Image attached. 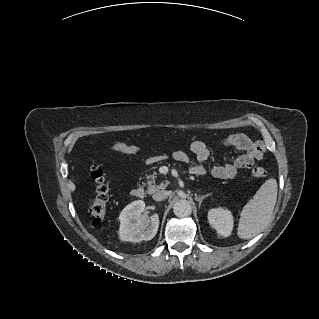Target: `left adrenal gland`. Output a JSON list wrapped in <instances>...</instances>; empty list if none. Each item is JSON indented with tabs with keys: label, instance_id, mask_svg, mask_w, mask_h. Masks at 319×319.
Wrapping results in <instances>:
<instances>
[{
	"label": "left adrenal gland",
	"instance_id": "obj_1",
	"mask_svg": "<svg viewBox=\"0 0 319 319\" xmlns=\"http://www.w3.org/2000/svg\"><path fill=\"white\" fill-rule=\"evenodd\" d=\"M211 194H206V195H199L198 197H196V201H198L199 202V206L201 205V203H202V201L206 198V197H208V196H210Z\"/></svg>",
	"mask_w": 319,
	"mask_h": 319
}]
</instances>
